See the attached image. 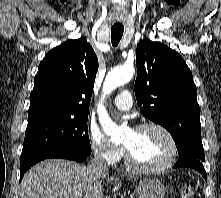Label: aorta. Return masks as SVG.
I'll return each instance as SVG.
<instances>
[{
	"label": "aorta",
	"instance_id": "obj_1",
	"mask_svg": "<svg viewBox=\"0 0 221 198\" xmlns=\"http://www.w3.org/2000/svg\"><path fill=\"white\" fill-rule=\"evenodd\" d=\"M134 76V68L123 66L111 70L104 81L103 92L104 95L111 93L114 89L128 83ZM99 115L100 123L104 133L110 136L112 141H117L122 139L123 130L115 124L107 115L102 106L99 105Z\"/></svg>",
	"mask_w": 221,
	"mask_h": 198
}]
</instances>
